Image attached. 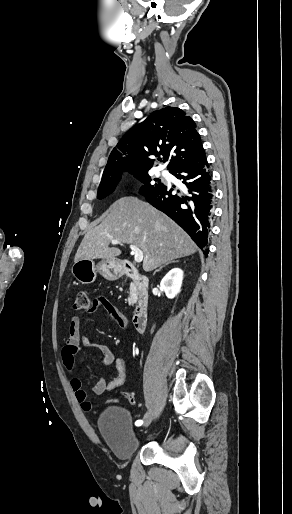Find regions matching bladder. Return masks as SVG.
Listing matches in <instances>:
<instances>
[{
  "label": "bladder",
  "instance_id": "obj_1",
  "mask_svg": "<svg viewBox=\"0 0 292 514\" xmlns=\"http://www.w3.org/2000/svg\"><path fill=\"white\" fill-rule=\"evenodd\" d=\"M98 429L113 453L120 459L131 458L140 448L130 412L121 406L105 409L98 420Z\"/></svg>",
  "mask_w": 292,
  "mask_h": 514
}]
</instances>
